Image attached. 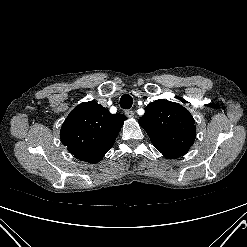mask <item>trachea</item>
<instances>
[{
	"label": "trachea",
	"instance_id": "3493384b",
	"mask_svg": "<svg viewBox=\"0 0 247 247\" xmlns=\"http://www.w3.org/2000/svg\"><path fill=\"white\" fill-rule=\"evenodd\" d=\"M133 104V98L129 94H124L120 99V106L123 109H130Z\"/></svg>",
	"mask_w": 247,
	"mask_h": 247
}]
</instances>
